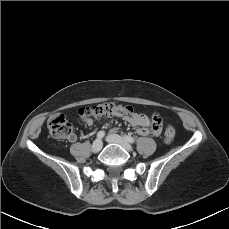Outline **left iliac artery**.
I'll return each instance as SVG.
<instances>
[{"instance_id": "1", "label": "left iliac artery", "mask_w": 229, "mask_h": 229, "mask_svg": "<svg viewBox=\"0 0 229 229\" xmlns=\"http://www.w3.org/2000/svg\"><path fill=\"white\" fill-rule=\"evenodd\" d=\"M123 138L129 142V143H135V139L133 137H131L130 135H124Z\"/></svg>"}]
</instances>
